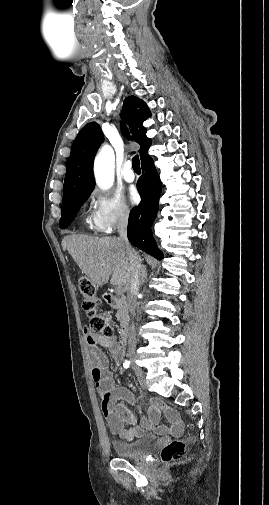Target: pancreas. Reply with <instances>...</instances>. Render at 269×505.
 <instances>
[{
	"instance_id": "cf45deb5",
	"label": "pancreas",
	"mask_w": 269,
	"mask_h": 505,
	"mask_svg": "<svg viewBox=\"0 0 269 505\" xmlns=\"http://www.w3.org/2000/svg\"><path fill=\"white\" fill-rule=\"evenodd\" d=\"M116 318L118 321H122L123 319V312L121 310H118L117 313H116Z\"/></svg>"
}]
</instances>
